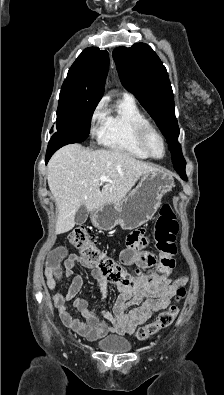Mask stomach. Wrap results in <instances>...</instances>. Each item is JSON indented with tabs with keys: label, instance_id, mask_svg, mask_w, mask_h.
<instances>
[{
	"label": "stomach",
	"instance_id": "1",
	"mask_svg": "<svg viewBox=\"0 0 224 395\" xmlns=\"http://www.w3.org/2000/svg\"><path fill=\"white\" fill-rule=\"evenodd\" d=\"M175 186L170 172L155 170L142 175L140 182L117 203H107L93 211L91 221L101 230L120 225L133 230L148 222L156 213L162 197Z\"/></svg>",
	"mask_w": 224,
	"mask_h": 395
}]
</instances>
